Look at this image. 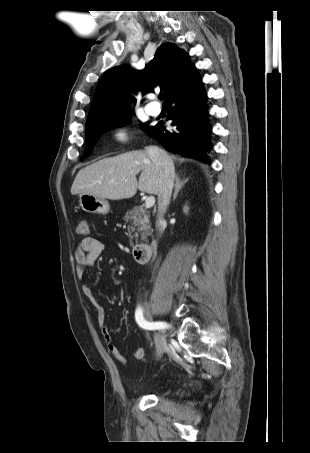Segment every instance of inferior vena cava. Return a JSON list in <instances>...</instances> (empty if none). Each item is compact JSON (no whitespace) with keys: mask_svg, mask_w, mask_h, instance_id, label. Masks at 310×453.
Listing matches in <instances>:
<instances>
[{"mask_svg":"<svg viewBox=\"0 0 310 453\" xmlns=\"http://www.w3.org/2000/svg\"><path fill=\"white\" fill-rule=\"evenodd\" d=\"M146 152L152 162L160 169L161 182L158 194V214L156 220V228L160 234L163 232L164 213L170 203L172 189L174 186L175 169L173 161L165 151L156 146H149Z\"/></svg>","mask_w":310,"mask_h":453,"instance_id":"602c4592","label":"inferior vena cava"}]
</instances>
